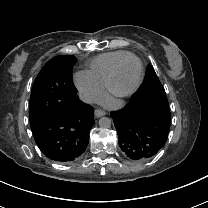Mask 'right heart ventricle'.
I'll use <instances>...</instances> for the list:
<instances>
[{
  "label": "right heart ventricle",
  "instance_id": "right-heart-ventricle-1",
  "mask_svg": "<svg viewBox=\"0 0 208 208\" xmlns=\"http://www.w3.org/2000/svg\"><path fill=\"white\" fill-rule=\"evenodd\" d=\"M129 54L131 52L125 50L101 54L91 60L87 73L96 84L104 88L114 65Z\"/></svg>",
  "mask_w": 208,
  "mask_h": 208
}]
</instances>
